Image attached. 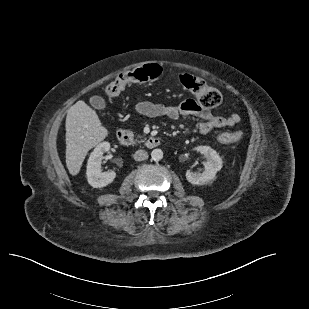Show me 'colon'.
Segmentation results:
<instances>
[{
    "mask_svg": "<svg viewBox=\"0 0 309 309\" xmlns=\"http://www.w3.org/2000/svg\"><path fill=\"white\" fill-rule=\"evenodd\" d=\"M163 72V69L158 64H148L141 68L131 70L117 77L113 82L109 83L104 88V93L107 97L113 98L118 96L127 86L133 83L148 82L158 78ZM181 84L190 90L197 103L201 107L213 108L222 102L221 93L214 87L206 84L203 81L197 80L191 76H181ZM243 136L241 131L224 133L220 136V140L224 143H232L240 140Z\"/></svg>",
    "mask_w": 309,
    "mask_h": 309,
    "instance_id": "1",
    "label": "colon"
}]
</instances>
